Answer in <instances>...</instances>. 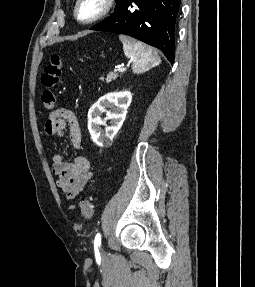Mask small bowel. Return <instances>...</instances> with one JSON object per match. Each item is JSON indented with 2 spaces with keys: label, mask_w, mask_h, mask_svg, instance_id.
I'll use <instances>...</instances> for the list:
<instances>
[{
  "label": "small bowel",
  "mask_w": 255,
  "mask_h": 287,
  "mask_svg": "<svg viewBox=\"0 0 255 287\" xmlns=\"http://www.w3.org/2000/svg\"><path fill=\"white\" fill-rule=\"evenodd\" d=\"M67 129L72 146L79 148L82 139L81 130L73 111L60 108L54 111L45 123V132L58 139L65 137ZM52 161L51 171L58 177L57 187L67 199H75L92 177L89 160L84 156H75L68 161L63 153H56L53 155ZM73 207L70 206V208Z\"/></svg>",
  "instance_id": "c3829d8e"
}]
</instances>
